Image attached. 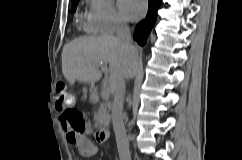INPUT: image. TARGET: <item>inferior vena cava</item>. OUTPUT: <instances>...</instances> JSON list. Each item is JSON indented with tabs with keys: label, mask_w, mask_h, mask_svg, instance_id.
<instances>
[{
	"label": "inferior vena cava",
	"mask_w": 242,
	"mask_h": 160,
	"mask_svg": "<svg viewBox=\"0 0 242 160\" xmlns=\"http://www.w3.org/2000/svg\"><path fill=\"white\" fill-rule=\"evenodd\" d=\"M117 40L125 48L124 57L117 74V84L112 103V123L115 132L120 160H131L129 141L123 122V102L125 96V81H132L134 73H140L138 68V48L131 42L130 28L126 23H119L116 29Z\"/></svg>",
	"instance_id": "inferior-vena-cava-1"
}]
</instances>
